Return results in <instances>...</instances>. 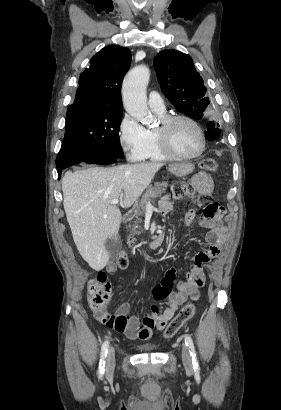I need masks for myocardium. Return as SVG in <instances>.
I'll use <instances>...</instances> for the list:
<instances>
[{"label": "myocardium", "instance_id": "obj_1", "mask_svg": "<svg viewBox=\"0 0 281 410\" xmlns=\"http://www.w3.org/2000/svg\"><path fill=\"white\" fill-rule=\"evenodd\" d=\"M177 121H186L193 125L201 138V147L200 149L192 155H182L177 153L171 146L169 137H168V132L171 126L177 122ZM155 134L156 138L158 141V144L161 148V150L164 152V154L169 158L173 160H192L195 158H198L201 156L205 149H206V135L201 127V125L192 117L183 115V114H176V115H167L163 118L160 119L159 126L155 129Z\"/></svg>", "mask_w": 281, "mask_h": 410}]
</instances>
